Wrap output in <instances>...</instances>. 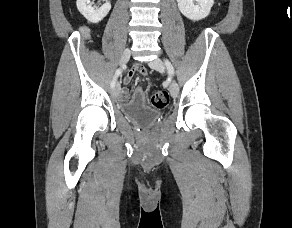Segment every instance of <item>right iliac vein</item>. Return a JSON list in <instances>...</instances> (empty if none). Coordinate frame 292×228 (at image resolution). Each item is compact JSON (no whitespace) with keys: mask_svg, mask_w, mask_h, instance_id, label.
Returning <instances> with one entry per match:
<instances>
[{"mask_svg":"<svg viewBox=\"0 0 292 228\" xmlns=\"http://www.w3.org/2000/svg\"><path fill=\"white\" fill-rule=\"evenodd\" d=\"M130 56H131V51H130V49H126V50L123 52L122 56H121L120 64H121L122 66H125L126 63L129 61ZM120 89H121V88H120V85H119V84H117V85L112 89V95H113V97H118V96H119V94H120Z\"/></svg>","mask_w":292,"mask_h":228,"instance_id":"obj_1","label":"right iliac vein"}]
</instances>
